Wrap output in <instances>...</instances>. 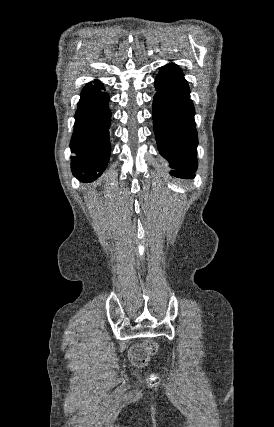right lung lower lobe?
Listing matches in <instances>:
<instances>
[{
  "label": "right lung lower lobe",
  "mask_w": 274,
  "mask_h": 427,
  "mask_svg": "<svg viewBox=\"0 0 274 427\" xmlns=\"http://www.w3.org/2000/svg\"><path fill=\"white\" fill-rule=\"evenodd\" d=\"M102 84H87L75 115L71 139V168L82 182L97 179L105 170L110 156L109 128L111 112L109 96L102 92Z\"/></svg>",
  "instance_id": "1"
}]
</instances>
